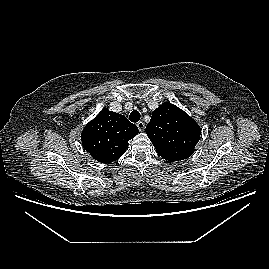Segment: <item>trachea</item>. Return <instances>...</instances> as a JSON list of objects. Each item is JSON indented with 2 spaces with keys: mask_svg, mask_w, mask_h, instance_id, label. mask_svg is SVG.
<instances>
[{
  "mask_svg": "<svg viewBox=\"0 0 269 269\" xmlns=\"http://www.w3.org/2000/svg\"><path fill=\"white\" fill-rule=\"evenodd\" d=\"M140 117H141V115H140V113L137 110L132 111L130 113V115H129L130 121L131 122H134V123L135 122H138L140 120Z\"/></svg>",
  "mask_w": 269,
  "mask_h": 269,
  "instance_id": "obj_1",
  "label": "trachea"
}]
</instances>
